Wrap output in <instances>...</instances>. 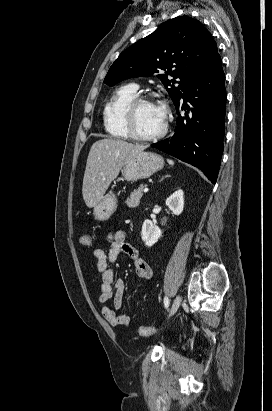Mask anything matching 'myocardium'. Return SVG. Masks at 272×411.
<instances>
[{
    "instance_id": "myocardium-1",
    "label": "myocardium",
    "mask_w": 272,
    "mask_h": 411,
    "mask_svg": "<svg viewBox=\"0 0 272 411\" xmlns=\"http://www.w3.org/2000/svg\"><path fill=\"white\" fill-rule=\"evenodd\" d=\"M142 103H154L151 97L147 95H137L135 96L125 107L124 110V124L125 128L128 132V135L130 138L137 140V141H144V142H151V141H157L161 138H163L167 131H168V115L167 111L162 108L163 112V126L162 128L155 134L153 135H142L137 132L135 128V115H136V110L141 105Z\"/></svg>"
}]
</instances>
